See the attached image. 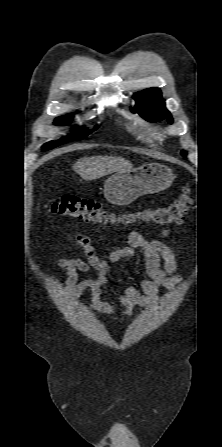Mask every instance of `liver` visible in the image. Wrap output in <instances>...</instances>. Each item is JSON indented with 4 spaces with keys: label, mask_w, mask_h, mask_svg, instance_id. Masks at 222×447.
Wrapping results in <instances>:
<instances>
[{
    "label": "liver",
    "mask_w": 222,
    "mask_h": 447,
    "mask_svg": "<svg viewBox=\"0 0 222 447\" xmlns=\"http://www.w3.org/2000/svg\"><path fill=\"white\" fill-rule=\"evenodd\" d=\"M132 167V163L121 157L93 156L77 161L73 170L84 180H94L117 171L130 170Z\"/></svg>",
    "instance_id": "obj_1"
}]
</instances>
